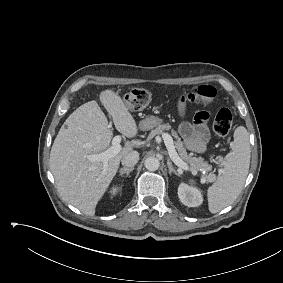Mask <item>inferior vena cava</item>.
Wrapping results in <instances>:
<instances>
[{
	"mask_svg": "<svg viewBox=\"0 0 283 283\" xmlns=\"http://www.w3.org/2000/svg\"><path fill=\"white\" fill-rule=\"evenodd\" d=\"M139 160V153L137 151H131L124 155L121 159V163L125 167H133Z\"/></svg>",
	"mask_w": 283,
	"mask_h": 283,
	"instance_id": "602c4592",
	"label": "inferior vena cava"
}]
</instances>
